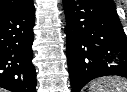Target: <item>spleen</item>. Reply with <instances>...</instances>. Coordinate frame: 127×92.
<instances>
[{
  "label": "spleen",
  "instance_id": "3e777b00",
  "mask_svg": "<svg viewBox=\"0 0 127 92\" xmlns=\"http://www.w3.org/2000/svg\"><path fill=\"white\" fill-rule=\"evenodd\" d=\"M89 92H127V80L120 77H105L93 81Z\"/></svg>",
  "mask_w": 127,
  "mask_h": 92
}]
</instances>
